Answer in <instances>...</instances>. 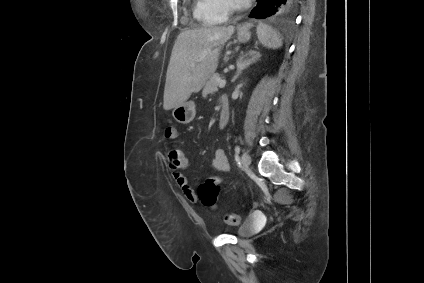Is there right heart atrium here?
<instances>
[{"label": "right heart atrium", "mask_w": 424, "mask_h": 283, "mask_svg": "<svg viewBox=\"0 0 424 283\" xmlns=\"http://www.w3.org/2000/svg\"><path fill=\"white\" fill-rule=\"evenodd\" d=\"M216 6L222 14L227 15L233 8V0H214Z\"/></svg>", "instance_id": "d8ad5b80"}]
</instances>
